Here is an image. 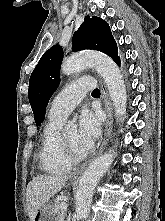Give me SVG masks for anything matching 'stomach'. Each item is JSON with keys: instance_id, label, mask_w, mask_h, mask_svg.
<instances>
[{"instance_id": "stomach-1", "label": "stomach", "mask_w": 165, "mask_h": 221, "mask_svg": "<svg viewBox=\"0 0 165 221\" xmlns=\"http://www.w3.org/2000/svg\"><path fill=\"white\" fill-rule=\"evenodd\" d=\"M57 216L54 213L53 206L51 204H45L39 208L36 213L34 221H57Z\"/></svg>"}]
</instances>
